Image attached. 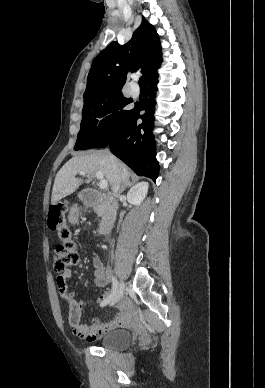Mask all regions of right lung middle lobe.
<instances>
[{"instance_id":"1","label":"right lung middle lobe","mask_w":265,"mask_h":388,"mask_svg":"<svg viewBox=\"0 0 265 388\" xmlns=\"http://www.w3.org/2000/svg\"><path fill=\"white\" fill-rule=\"evenodd\" d=\"M131 99L119 90H105L84 99L82 122L74 149L103 148L121 130L131 110L125 107Z\"/></svg>"}]
</instances>
